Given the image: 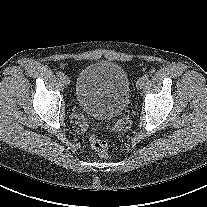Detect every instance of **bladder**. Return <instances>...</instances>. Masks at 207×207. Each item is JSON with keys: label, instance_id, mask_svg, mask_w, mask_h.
I'll return each instance as SVG.
<instances>
[{"label": "bladder", "instance_id": "obj_1", "mask_svg": "<svg viewBox=\"0 0 207 207\" xmlns=\"http://www.w3.org/2000/svg\"><path fill=\"white\" fill-rule=\"evenodd\" d=\"M130 97V82L120 65L99 61L88 64L78 74L75 101L86 114L109 118L122 113Z\"/></svg>", "mask_w": 207, "mask_h": 207}]
</instances>
